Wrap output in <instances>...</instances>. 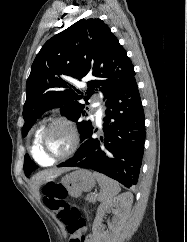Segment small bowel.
<instances>
[{
	"label": "small bowel",
	"mask_w": 187,
	"mask_h": 242,
	"mask_svg": "<svg viewBox=\"0 0 187 242\" xmlns=\"http://www.w3.org/2000/svg\"><path fill=\"white\" fill-rule=\"evenodd\" d=\"M87 242H94L92 237H87Z\"/></svg>",
	"instance_id": "obj_1"
}]
</instances>
